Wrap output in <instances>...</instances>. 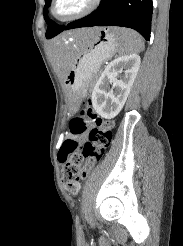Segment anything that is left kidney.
I'll return each instance as SVG.
<instances>
[{
  "label": "left kidney",
  "instance_id": "left-kidney-1",
  "mask_svg": "<svg viewBox=\"0 0 183 246\" xmlns=\"http://www.w3.org/2000/svg\"><path fill=\"white\" fill-rule=\"evenodd\" d=\"M140 63V56L133 53L119 56L105 67L92 92V106L97 114L105 119H112L119 114L128 98ZM119 75L120 79L117 78ZM109 84H113L112 88Z\"/></svg>",
  "mask_w": 183,
  "mask_h": 246
}]
</instances>
